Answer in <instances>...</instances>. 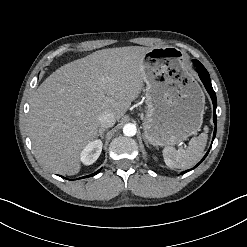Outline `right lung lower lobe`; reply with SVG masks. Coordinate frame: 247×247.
Instances as JSON below:
<instances>
[{
	"mask_svg": "<svg viewBox=\"0 0 247 247\" xmlns=\"http://www.w3.org/2000/svg\"><path fill=\"white\" fill-rule=\"evenodd\" d=\"M100 171H101V169H99V170L96 171L95 173H93V174H91V175H88V176H85V177H83V178H87V177H90V176L92 177V176L98 174Z\"/></svg>",
	"mask_w": 247,
	"mask_h": 247,
	"instance_id": "98d812e1",
	"label": "right lung lower lobe"
}]
</instances>
